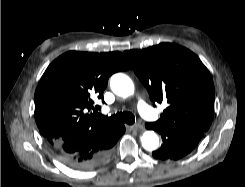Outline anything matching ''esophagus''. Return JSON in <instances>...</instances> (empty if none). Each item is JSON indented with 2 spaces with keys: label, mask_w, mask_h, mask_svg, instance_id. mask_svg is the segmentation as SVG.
Segmentation results:
<instances>
[{
  "label": "esophagus",
  "mask_w": 245,
  "mask_h": 187,
  "mask_svg": "<svg viewBox=\"0 0 245 187\" xmlns=\"http://www.w3.org/2000/svg\"><path fill=\"white\" fill-rule=\"evenodd\" d=\"M127 128L131 131H138V130H142L143 126L141 124H135L132 126H127Z\"/></svg>",
  "instance_id": "1"
}]
</instances>
